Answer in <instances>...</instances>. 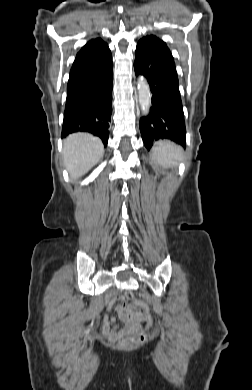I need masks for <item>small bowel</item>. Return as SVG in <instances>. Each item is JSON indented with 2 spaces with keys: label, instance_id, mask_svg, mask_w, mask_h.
<instances>
[{
  "label": "small bowel",
  "instance_id": "obj_1",
  "mask_svg": "<svg viewBox=\"0 0 252 390\" xmlns=\"http://www.w3.org/2000/svg\"><path fill=\"white\" fill-rule=\"evenodd\" d=\"M138 305L142 308V313L133 311L124 303L122 296H113L110 302V307H116L118 318L122 322V326H117L115 324V319L107 316L104 323L105 332L114 336L130 334L139 328L141 321L145 320L148 322V320H151L146 305L141 302H139Z\"/></svg>",
  "mask_w": 252,
  "mask_h": 390
}]
</instances>
